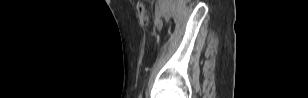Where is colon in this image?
I'll use <instances>...</instances> for the list:
<instances>
[{"label":"colon","mask_w":308,"mask_h":98,"mask_svg":"<svg viewBox=\"0 0 308 98\" xmlns=\"http://www.w3.org/2000/svg\"><path fill=\"white\" fill-rule=\"evenodd\" d=\"M137 11H138L141 22L145 25L148 24L149 15L146 12L145 5L143 2H138Z\"/></svg>","instance_id":"obj_1"}]
</instances>
